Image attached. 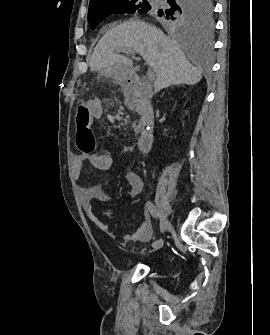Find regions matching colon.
<instances>
[{
	"mask_svg": "<svg viewBox=\"0 0 270 335\" xmlns=\"http://www.w3.org/2000/svg\"><path fill=\"white\" fill-rule=\"evenodd\" d=\"M78 115L75 117V122L77 123V133L85 134L84 141H77V148H84L83 153L91 154L94 152L96 146V139L92 135L90 123H93V116H89L88 110H83L79 108Z\"/></svg>",
	"mask_w": 270,
	"mask_h": 335,
	"instance_id": "colon-1",
	"label": "colon"
}]
</instances>
